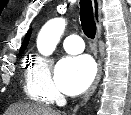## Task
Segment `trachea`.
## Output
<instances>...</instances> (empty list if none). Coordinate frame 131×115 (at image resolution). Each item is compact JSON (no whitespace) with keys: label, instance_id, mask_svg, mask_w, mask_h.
<instances>
[{"label":"trachea","instance_id":"trachea-1","mask_svg":"<svg viewBox=\"0 0 131 115\" xmlns=\"http://www.w3.org/2000/svg\"><path fill=\"white\" fill-rule=\"evenodd\" d=\"M80 17L84 34L88 38L94 39L96 34V23L91 0H80Z\"/></svg>","mask_w":131,"mask_h":115}]
</instances>
